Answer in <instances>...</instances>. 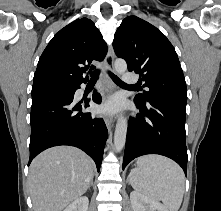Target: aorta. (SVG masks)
Here are the masks:
<instances>
[{
    "label": "aorta",
    "mask_w": 221,
    "mask_h": 211,
    "mask_svg": "<svg viewBox=\"0 0 221 211\" xmlns=\"http://www.w3.org/2000/svg\"><path fill=\"white\" fill-rule=\"evenodd\" d=\"M115 70L118 74H123L127 70V63L123 59H117L114 63ZM127 134V120L121 115L119 116L114 133V147L120 152L125 146Z\"/></svg>",
    "instance_id": "762f6f07"
}]
</instances>
